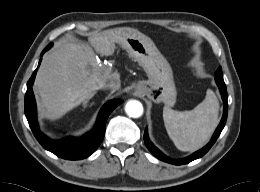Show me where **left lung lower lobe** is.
I'll use <instances>...</instances> for the list:
<instances>
[{"instance_id":"obj_1","label":"left lung lower lobe","mask_w":260,"mask_h":192,"mask_svg":"<svg viewBox=\"0 0 260 192\" xmlns=\"http://www.w3.org/2000/svg\"><path fill=\"white\" fill-rule=\"evenodd\" d=\"M216 80V84L219 87L223 102H224V113H223V117L221 119L220 124L218 125L216 131L214 132L210 142L203 147L202 149L196 151L195 153H193L192 155L183 158V159H179V160H174L171 159L169 157H167L166 155H164L159 149H157L152 142L149 140L148 138V134H147V129L145 130L144 133V142L146 147L148 148V150L154 154L158 159L167 162V163H171L174 165H183V164H187L195 159H198L200 157H202L203 155H205L209 149L213 146V144L216 142L217 138L219 137L221 131L223 130L224 126H225V122L227 120V114H228V102H227V89L224 83L223 79H215Z\"/></svg>"}]
</instances>
